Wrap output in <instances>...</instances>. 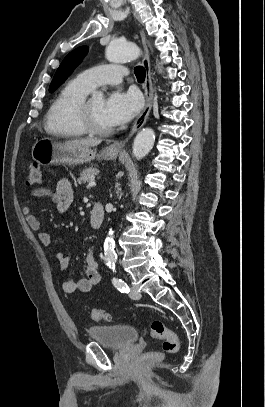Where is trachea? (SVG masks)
Wrapping results in <instances>:
<instances>
[{"mask_svg":"<svg viewBox=\"0 0 265 407\" xmlns=\"http://www.w3.org/2000/svg\"><path fill=\"white\" fill-rule=\"evenodd\" d=\"M138 82L142 83L145 80V69L142 66H137L134 70Z\"/></svg>","mask_w":265,"mask_h":407,"instance_id":"obj_1","label":"trachea"}]
</instances>
